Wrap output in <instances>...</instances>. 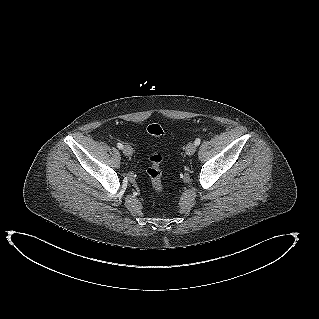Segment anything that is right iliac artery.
Returning <instances> with one entry per match:
<instances>
[{
  "label": "right iliac artery",
  "mask_w": 319,
  "mask_h": 319,
  "mask_svg": "<svg viewBox=\"0 0 319 319\" xmlns=\"http://www.w3.org/2000/svg\"><path fill=\"white\" fill-rule=\"evenodd\" d=\"M117 147H118L119 149H123L122 143H118V144H117Z\"/></svg>",
  "instance_id": "82829eb1"
}]
</instances>
